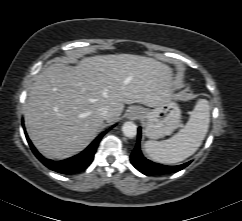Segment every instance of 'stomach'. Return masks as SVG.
I'll use <instances>...</instances> for the list:
<instances>
[{"label":"stomach","instance_id":"1","mask_svg":"<svg viewBox=\"0 0 242 221\" xmlns=\"http://www.w3.org/2000/svg\"><path fill=\"white\" fill-rule=\"evenodd\" d=\"M141 119L145 123V135L150 139H159L171 134L178 128L181 119L179 106L169 101L153 109L141 108Z\"/></svg>","mask_w":242,"mask_h":221}]
</instances>
